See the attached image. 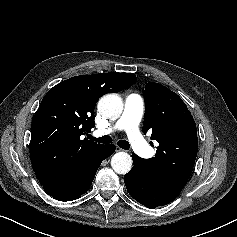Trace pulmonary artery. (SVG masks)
Here are the masks:
<instances>
[{
	"instance_id": "obj_1",
	"label": "pulmonary artery",
	"mask_w": 237,
	"mask_h": 237,
	"mask_svg": "<svg viewBox=\"0 0 237 237\" xmlns=\"http://www.w3.org/2000/svg\"><path fill=\"white\" fill-rule=\"evenodd\" d=\"M144 113V101L138 94H129L124 103V110L116 125L108 128H102L95 131V134L106 135L113 132L114 129L126 132L135 153L142 157H150L152 148L141 136L138 126Z\"/></svg>"
}]
</instances>
